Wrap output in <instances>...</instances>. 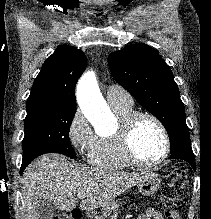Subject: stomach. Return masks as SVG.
<instances>
[{
	"mask_svg": "<svg viewBox=\"0 0 211 219\" xmlns=\"http://www.w3.org/2000/svg\"><path fill=\"white\" fill-rule=\"evenodd\" d=\"M160 184L161 180L159 175L154 172H150L142 181L138 183L137 188L139 193L142 195H151L158 190ZM120 204L121 203H118L117 200H113L104 206L88 210V215L96 216L100 219V217L108 216L117 210Z\"/></svg>",
	"mask_w": 211,
	"mask_h": 219,
	"instance_id": "0dacf381",
	"label": "stomach"
}]
</instances>
